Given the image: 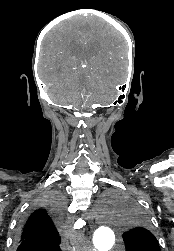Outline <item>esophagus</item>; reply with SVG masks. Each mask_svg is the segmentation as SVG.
Masks as SVG:
<instances>
[{"instance_id": "esophagus-1", "label": "esophagus", "mask_w": 174, "mask_h": 251, "mask_svg": "<svg viewBox=\"0 0 174 251\" xmlns=\"http://www.w3.org/2000/svg\"><path fill=\"white\" fill-rule=\"evenodd\" d=\"M84 251H92L90 244L87 242Z\"/></svg>"}]
</instances>
